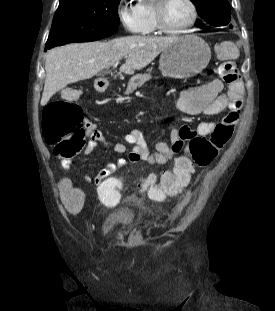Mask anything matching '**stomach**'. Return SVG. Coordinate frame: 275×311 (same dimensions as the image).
Wrapping results in <instances>:
<instances>
[{
  "label": "stomach",
  "mask_w": 275,
  "mask_h": 311,
  "mask_svg": "<svg viewBox=\"0 0 275 311\" xmlns=\"http://www.w3.org/2000/svg\"><path fill=\"white\" fill-rule=\"evenodd\" d=\"M209 45L197 35L177 37L160 56L159 69L166 77L185 79L201 73L209 64Z\"/></svg>",
  "instance_id": "0dacf381"
}]
</instances>
